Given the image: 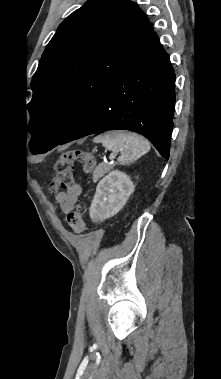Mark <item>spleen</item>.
<instances>
[{
  "label": "spleen",
  "instance_id": "obj_1",
  "mask_svg": "<svg viewBox=\"0 0 221 379\" xmlns=\"http://www.w3.org/2000/svg\"><path fill=\"white\" fill-rule=\"evenodd\" d=\"M93 142L101 143L113 153H120L117 160L121 165L136 161L150 150L148 140L138 134L124 131L100 134L94 138Z\"/></svg>",
  "mask_w": 221,
  "mask_h": 379
}]
</instances>
